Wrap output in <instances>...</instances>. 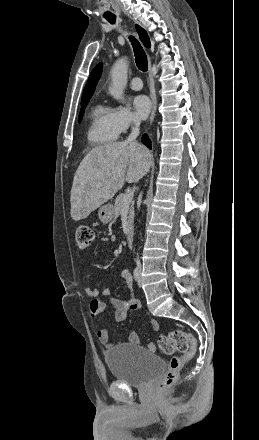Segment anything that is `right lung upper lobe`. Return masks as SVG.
<instances>
[{"label": "right lung upper lobe", "mask_w": 259, "mask_h": 440, "mask_svg": "<svg viewBox=\"0 0 259 440\" xmlns=\"http://www.w3.org/2000/svg\"><path fill=\"white\" fill-rule=\"evenodd\" d=\"M137 32L139 34L140 40L144 44L145 47H151L150 39L147 32L141 28L139 25H136ZM102 63H99L91 72L87 84L84 88L82 99L91 98L94 93L95 87L99 81V78L102 73Z\"/></svg>", "instance_id": "1"}]
</instances>
